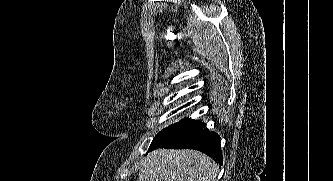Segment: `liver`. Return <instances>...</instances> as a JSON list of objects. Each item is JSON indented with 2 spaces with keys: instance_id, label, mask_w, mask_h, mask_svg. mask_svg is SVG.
<instances>
[{
  "instance_id": "liver-1",
  "label": "liver",
  "mask_w": 333,
  "mask_h": 181,
  "mask_svg": "<svg viewBox=\"0 0 333 181\" xmlns=\"http://www.w3.org/2000/svg\"><path fill=\"white\" fill-rule=\"evenodd\" d=\"M219 167L196 150L157 149L141 164L137 181H216Z\"/></svg>"
}]
</instances>
